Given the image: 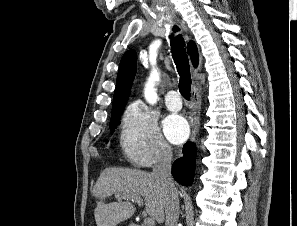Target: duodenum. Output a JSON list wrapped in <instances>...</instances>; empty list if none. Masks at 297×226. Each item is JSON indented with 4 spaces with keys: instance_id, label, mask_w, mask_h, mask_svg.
Listing matches in <instances>:
<instances>
[{
    "instance_id": "duodenum-1",
    "label": "duodenum",
    "mask_w": 297,
    "mask_h": 226,
    "mask_svg": "<svg viewBox=\"0 0 297 226\" xmlns=\"http://www.w3.org/2000/svg\"><path fill=\"white\" fill-rule=\"evenodd\" d=\"M131 226H140V225L137 223H132Z\"/></svg>"
}]
</instances>
